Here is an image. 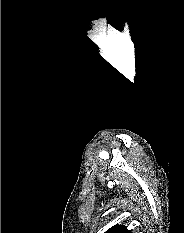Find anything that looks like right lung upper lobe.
I'll return each instance as SVG.
<instances>
[{"instance_id":"right-lung-upper-lobe-1","label":"right lung upper lobe","mask_w":184,"mask_h":233,"mask_svg":"<svg viewBox=\"0 0 184 233\" xmlns=\"http://www.w3.org/2000/svg\"><path fill=\"white\" fill-rule=\"evenodd\" d=\"M105 233H131L125 226L115 225L108 229Z\"/></svg>"}]
</instances>
